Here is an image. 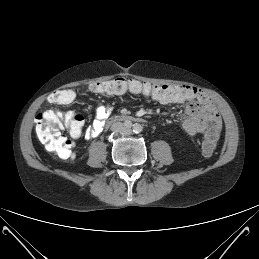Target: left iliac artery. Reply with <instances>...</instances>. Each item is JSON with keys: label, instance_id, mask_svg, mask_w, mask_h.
I'll return each mask as SVG.
<instances>
[{"label": "left iliac artery", "instance_id": "left-iliac-artery-1", "mask_svg": "<svg viewBox=\"0 0 259 259\" xmlns=\"http://www.w3.org/2000/svg\"><path fill=\"white\" fill-rule=\"evenodd\" d=\"M133 131L135 133H140V132L143 131V127L140 124L136 123V124L133 125Z\"/></svg>", "mask_w": 259, "mask_h": 259}]
</instances>
